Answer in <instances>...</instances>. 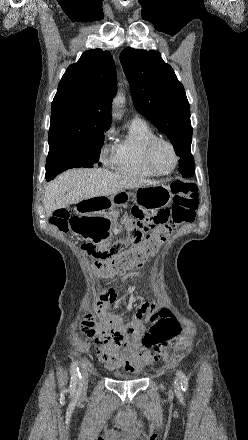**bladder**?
<instances>
[{
	"mask_svg": "<svg viewBox=\"0 0 248 440\" xmlns=\"http://www.w3.org/2000/svg\"><path fill=\"white\" fill-rule=\"evenodd\" d=\"M113 377L116 380L128 381L137 379L138 375L128 369H118L113 372Z\"/></svg>",
	"mask_w": 248,
	"mask_h": 440,
	"instance_id": "obj_1",
	"label": "bladder"
}]
</instances>
